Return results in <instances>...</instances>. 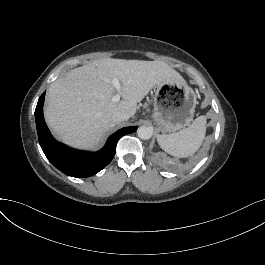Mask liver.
<instances>
[{
  "label": "liver",
  "instance_id": "1",
  "mask_svg": "<svg viewBox=\"0 0 265 265\" xmlns=\"http://www.w3.org/2000/svg\"><path fill=\"white\" fill-rule=\"evenodd\" d=\"M122 86V100L114 102L113 79ZM184 84L182 77L161 61L102 59L74 69L53 82L46 96L45 119L61 140L76 147L95 145L117 124L112 114L130 118L150 91L162 84Z\"/></svg>",
  "mask_w": 265,
  "mask_h": 265
}]
</instances>
